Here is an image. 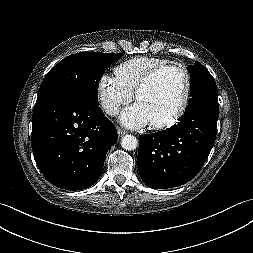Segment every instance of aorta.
<instances>
[{"instance_id":"762f6f07","label":"aorta","mask_w":253,"mask_h":253,"mask_svg":"<svg viewBox=\"0 0 253 253\" xmlns=\"http://www.w3.org/2000/svg\"><path fill=\"white\" fill-rule=\"evenodd\" d=\"M138 141L133 135L127 134L121 140V146L123 149L131 151L137 148Z\"/></svg>"}]
</instances>
